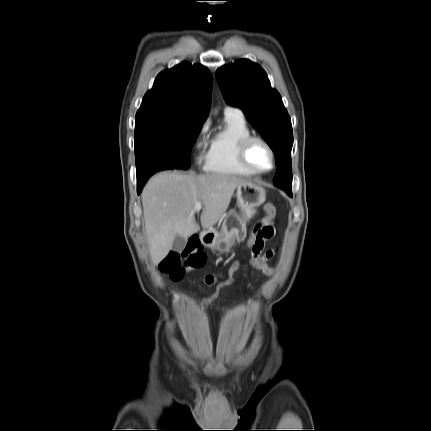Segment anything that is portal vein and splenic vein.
<instances>
[{"mask_svg": "<svg viewBox=\"0 0 431 431\" xmlns=\"http://www.w3.org/2000/svg\"><path fill=\"white\" fill-rule=\"evenodd\" d=\"M202 209V203L201 202H197L195 204L194 210L199 211Z\"/></svg>", "mask_w": 431, "mask_h": 431, "instance_id": "obj_1", "label": "portal vein and splenic vein"}]
</instances>
